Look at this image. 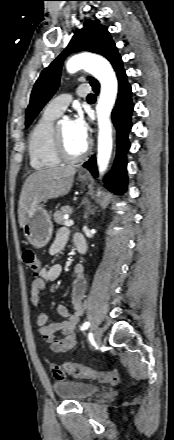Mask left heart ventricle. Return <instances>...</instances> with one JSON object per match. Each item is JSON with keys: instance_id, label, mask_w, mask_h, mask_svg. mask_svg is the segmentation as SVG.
Returning a JSON list of instances; mask_svg holds the SVG:
<instances>
[{"instance_id": "1", "label": "left heart ventricle", "mask_w": 174, "mask_h": 440, "mask_svg": "<svg viewBox=\"0 0 174 440\" xmlns=\"http://www.w3.org/2000/svg\"><path fill=\"white\" fill-rule=\"evenodd\" d=\"M64 137L65 145L68 152L77 155L82 152L86 143L79 141L72 132L71 122L65 121L59 126Z\"/></svg>"}]
</instances>
